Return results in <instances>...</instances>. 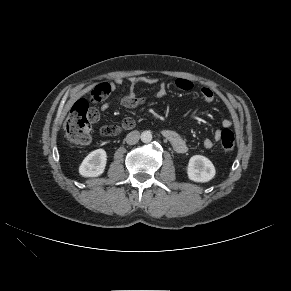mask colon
<instances>
[{"label": "colon", "instance_id": "1", "mask_svg": "<svg viewBox=\"0 0 291 291\" xmlns=\"http://www.w3.org/2000/svg\"><path fill=\"white\" fill-rule=\"evenodd\" d=\"M104 86L96 87L91 93L92 102H100L107 94ZM95 111L90 107L86 99H80L72 106L69 116L64 124V135L70 144H88L90 142L91 123L94 121ZM135 121L132 118L123 120L121 126L112 125L102 129L105 136H114L122 129H131ZM221 147L224 151L230 152L235 147V136L230 129H223L220 135Z\"/></svg>", "mask_w": 291, "mask_h": 291}]
</instances>
